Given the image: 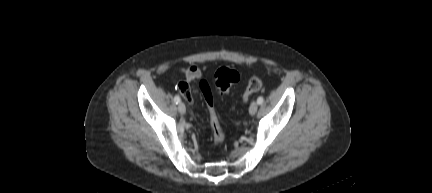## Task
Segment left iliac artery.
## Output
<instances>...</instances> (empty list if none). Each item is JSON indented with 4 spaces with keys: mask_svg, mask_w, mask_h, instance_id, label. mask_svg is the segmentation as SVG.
<instances>
[{
    "mask_svg": "<svg viewBox=\"0 0 432 193\" xmlns=\"http://www.w3.org/2000/svg\"><path fill=\"white\" fill-rule=\"evenodd\" d=\"M264 102V98L262 96L258 97L257 103L261 105Z\"/></svg>",
    "mask_w": 432,
    "mask_h": 193,
    "instance_id": "left-iliac-artery-1",
    "label": "left iliac artery"
}]
</instances>
